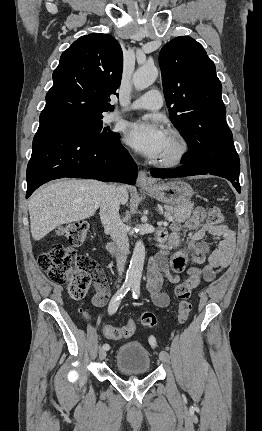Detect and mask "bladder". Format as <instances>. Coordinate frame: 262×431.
<instances>
[{"mask_svg": "<svg viewBox=\"0 0 262 431\" xmlns=\"http://www.w3.org/2000/svg\"><path fill=\"white\" fill-rule=\"evenodd\" d=\"M116 367L127 374H146L150 370V355L139 341L123 343L116 351Z\"/></svg>", "mask_w": 262, "mask_h": 431, "instance_id": "obj_1", "label": "bladder"}]
</instances>
